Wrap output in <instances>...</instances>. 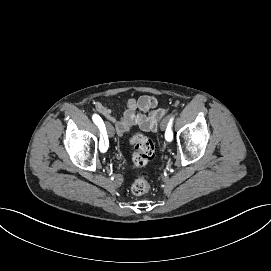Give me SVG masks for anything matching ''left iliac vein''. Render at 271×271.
<instances>
[{"mask_svg":"<svg viewBox=\"0 0 271 271\" xmlns=\"http://www.w3.org/2000/svg\"><path fill=\"white\" fill-rule=\"evenodd\" d=\"M166 126H167V124H166V118H163L162 121L160 122V127H161V129H165Z\"/></svg>","mask_w":271,"mask_h":271,"instance_id":"4c4485c4","label":"left iliac vein"}]
</instances>
